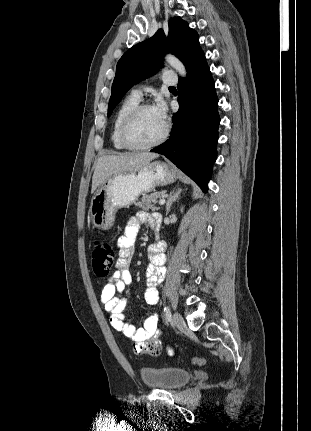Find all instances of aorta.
<instances>
[{"label":"aorta","instance_id":"1","mask_svg":"<svg viewBox=\"0 0 311 431\" xmlns=\"http://www.w3.org/2000/svg\"><path fill=\"white\" fill-rule=\"evenodd\" d=\"M165 62H167V64H169V66H171L173 70H176V72H178L180 76H183V78H185L186 76L185 66H183L182 62H180L178 58H175V56H171V54H167L165 58Z\"/></svg>","mask_w":311,"mask_h":431}]
</instances>
